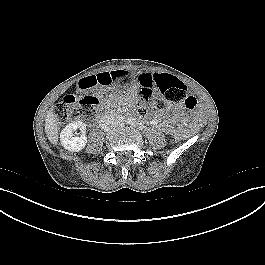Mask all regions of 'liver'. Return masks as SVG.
<instances>
[{
  "label": "liver",
  "mask_w": 265,
  "mask_h": 265,
  "mask_svg": "<svg viewBox=\"0 0 265 265\" xmlns=\"http://www.w3.org/2000/svg\"><path fill=\"white\" fill-rule=\"evenodd\" d=\"M58 130L57 116L50 110L45 117V133L52 144H56L58 141Z\"/></svg>",
  "instance_id": "liver-1"
}]
</instances>
